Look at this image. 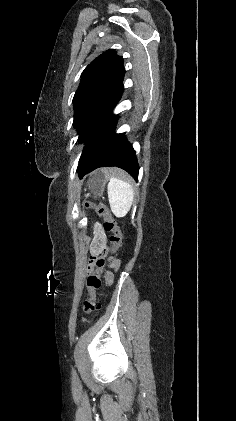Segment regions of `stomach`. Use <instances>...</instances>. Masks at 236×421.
I'll use <instances>...</instances> for the list:
<instances>
[{"label": "stomach", "mask_w": 236, "mask_h": 421, "mask_svg": "<svg viewBox=\"0 0 236 421\" xmlns=\"http://www.w3.org/2000/svg\"><path fill=\"white\" fill-rule=\"evenodd\" d=\"M106 178L103 176L100 170H96L94 174H92L91 178H89V188L95 196H101L104 192Z\"/></svg>", "instance_id": "0dacf381"}]
</instances>
